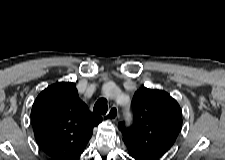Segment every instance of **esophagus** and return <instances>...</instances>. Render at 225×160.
Returning a JSON list of instances; mask_svg holds the SVG:
<instances>
[{
  "mask_svg": "<svg viewBox=\"0 0 225 160\" xmlns=\"http://www.w3.org/2000/svg\"><path fill=\"white\" fill-rule=\"evenodd\" d=\"M109 120L115 121L119 117L117 106L113 105L105 115Z\"/></svg>",
  "mask_w": 225,
  "mask_h": 160,
  "instance_id": "34e87169",
  "label": "esophagus"
}]
</instances>
